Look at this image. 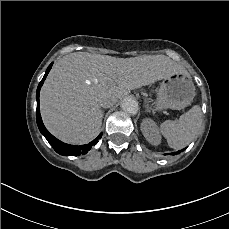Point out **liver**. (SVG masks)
<instances>
[{"instance_id": "6515ba94", "label": "liver", "mask_w": 229, "mask_h": 229, "mask_svg": "<svg viewBox=\"0 0 229 229\" xmlns=\"http://www.w3.org/2000/svg\"><path fill=\"white\" fill-rule=\"evenodd\" d=\"M174 74L190 75L164 55L115 58L72 53L56 62L41 90L43 121L59 139L87 143L101 130L102 102L113 106L132 90Z\"/></svg>"}]
</instances>
